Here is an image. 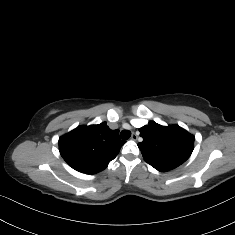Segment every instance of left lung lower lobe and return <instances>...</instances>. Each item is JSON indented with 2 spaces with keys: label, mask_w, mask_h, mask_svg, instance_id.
<instances>
[{
  "label": "left lung lower lobe",
  "mask_w": 235,
  "mask_h": 235,
  "mask_svg": "<svg viewBox=\"0 0 235 235\" xmlns=\"http://www.w3.org/2000/svg\"><path fill=\"white\" fill-rule=\"evenodd\" d=\"M155 169H157L158 171H161V172H167V171H170L174 168H170V167H167V166H159V167H156Z\"/></svg>",
  "instance_id": "1"
}]
</instances>
